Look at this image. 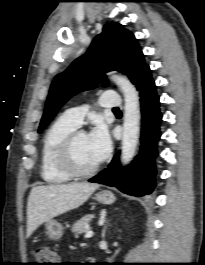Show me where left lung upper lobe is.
<instances>
[{"instance_id": "5c2ea615", "label": "left lung upper lobe", "mask_w": 205, "mask_h": 265, "mask_svg": "<svg viewBox=\"0 0 205 265\" xmlns=\"http://www.w3.org/2000/svg\"><path fill=\"white\" fill-rule=\"evenodd\" d=\"M147 67L134 35L119 23L106 24L88 51L54 78L38 132H42L72 96L82 90L95 88L104 81L106 72H122L136 85Z\"/></svg>"}]
</instances>
